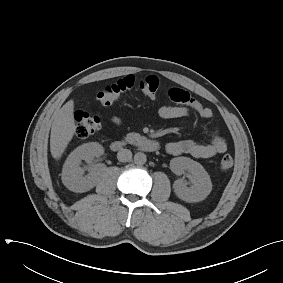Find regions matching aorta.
<instances>
[{
	"mask_svg": "<svg viewBox=\"0 0 283 283\" xmlns=\"http://www.w3.org/2000/svg\"><path fill=\"white\" fill-rule=\"evenodd\" d=\"M147 157L144 153L138 152L134 155V162L137 165H143L146 163Z\"/></svg>",
	"mask_w": 283,
	"mask_h": 283,
	"instance_id": "aorta-1",
	"label": "aorta"
}]
</instances>
